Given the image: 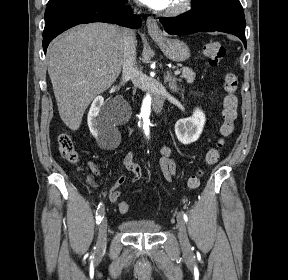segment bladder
<instances>
[{"label":"bladder","instance_id":"31cf9c89","mask_svg":"<svg viewBox=\"0 0 288 280\" xmlns=\"http://www.w3.org/2000/svg\"><path fill=\"white\" fill-rule=\"evenodd\" d=\"M119 228L130 234H155L161 229V225L149 219H131L120 222Z\"/></svg>","mask_w":288,"mask_h":280}]
</instances>
